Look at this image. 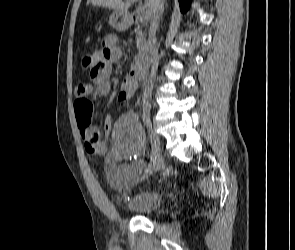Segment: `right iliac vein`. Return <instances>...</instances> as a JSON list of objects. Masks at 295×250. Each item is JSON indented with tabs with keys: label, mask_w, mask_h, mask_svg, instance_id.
<instances>
[{
	"label": "right iliac vein",
	"mask_w": 295,
	"mask_h": 250,
	"mask_svg": "<svg viewBox=\"0 0 295 250\" xmlns=\"http://www.w3.org/2000/svg\"><path fill=\"white\" fill-rule=\"evenodd\" d=\"M145 124L152 144V154L156 157V164L153 170L160 171L164 167V157L161 150V141L159 136L153 132L152 124L149 119L145 120Z\"/></svg>",
	"instance_id": "1"
}]
</instances>
